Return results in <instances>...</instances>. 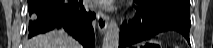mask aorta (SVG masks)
Instances as JSON below:
<instances>
[{"mask_svg": "<svg viewBox=\"0 0 213 48\" xmlns=\"http://www.w3.org/2000/svg\"><path fill=\"white\" fill-rule=\"evenodd\" d=\"M119 46V27L114 19H110L106 26L103 38V48H118Z\"/></svg>", "mask_w": 213, "mask_h": 48, "instance_id": "762f6f07", "label": "aorta"}]
</instances>
